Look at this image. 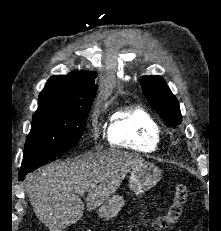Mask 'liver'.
Listing matches in <instances>:
<instances>
[{"label": "liver", "instance_id": "liver-1", "mask_svg": "<svg viewBox=\"0 0 221 231\" xmlns=\"http://www.w3.org/2000/svg\"><path fill=\"white\" fill-rule=\"evenodd\" d=\"M143 162V158L125 152L87 153L29 174L26 192L39 220L50 231H61L83 216L82 189L88 192L86 206L92 211L110 198L128 172Z\"/></svg>", "mask_w": 221, "mask_h": 231}]
</instances>
